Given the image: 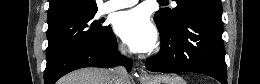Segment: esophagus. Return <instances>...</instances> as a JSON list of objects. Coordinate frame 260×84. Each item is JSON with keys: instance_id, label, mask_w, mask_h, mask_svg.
I'll use <instances>...</instances> for the list:
<instances>
[{"instance_id": "1", "label": "esophagus", "mask_w": 260, "mask_h": 84, "mask_svg": "<svg viewBox=\"0 0 260 84\" xmlns=\"http://www.w3.org/2000/svg\"><path fill=\"white\" fill-rule=\"evenodd\" d=\"M138 72L140 80H146L149 78V75L143 69H139Z\"/></svg>"}]
</instances>
